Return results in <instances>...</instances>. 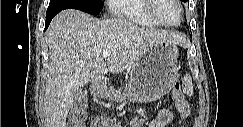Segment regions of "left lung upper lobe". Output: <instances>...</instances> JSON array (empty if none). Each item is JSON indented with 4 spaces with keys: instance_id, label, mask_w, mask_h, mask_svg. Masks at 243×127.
Segmentation results:
<instances>
[{
    "instance_id": "left-lung-upper-lobe-1",
    "label": "left lung upper lobe",
    "mask_w": 243,
    "mask_h": 127,
    "mask_svg": "<svg viewBox=\"0 0 243 127\" xmlns=\"http://www.w3.org/2000/svg\"><path fill=\"white\" fill-rule=\"evenodd\" d=\"M184 2H189V0H183Z\"/></svg>"
}]
</instances>
